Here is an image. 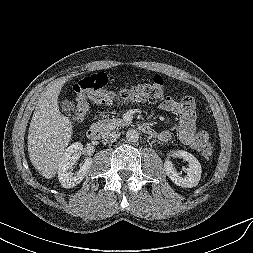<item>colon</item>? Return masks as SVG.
<instances>
[{
  "instance_id": "obj_1",
  "label": "colon",
  "mask_w": 253,
  "mask_h": 253,
  "mask_svg": "<svg viewBox=\"0 0 253 253\" xmlns=\"http://www.w3.org/2000/svg\"><path fill=\"white\" fill-rule=\"evenodd\" d=\"M108 79L104 73L88 75L75 85V111L73 119L82 121L89 110V101L105 105H120L135 101L157 102L165 94V82L161 76L144 84H138L120 91L106 90ZM189 99H193L189 96ZM211 144L205 143L202 154L205 158L212 156Z\"/></svg>"
}]
</instances>
